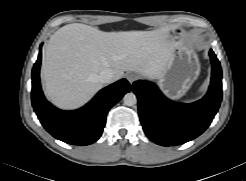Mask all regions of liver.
<instances>
[{
	"label": "liver",
	"mask_w": 246,
	"mask_h": 181,
	"mask_svg": "<svg viewBox=\"0 0 246 181\" xmlns=\"http://www.w3.org/2000/svg\"><path fill=\"white\" fill-rule=\"evenodd\" d=\"M172 47L166 30L103 32L72 23L57 30L44 53L41 76L48 99L62 109L88 102L102 87L98 74L105 68L114 81L125 71L156 78Z\"/></svg>",
	"instance_id": "1"
}]
</instances>
